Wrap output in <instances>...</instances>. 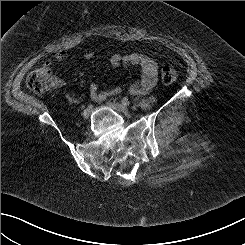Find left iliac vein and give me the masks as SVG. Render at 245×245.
<instances>
[{
	"mask_svg": "<svg viewBox=\"0 0 245 245\" xmlns=\"http://www.w3.org/2000/svg\"><path fill=\"white\" fill-rule=\"evenodd\" d=\"M108 104L118 112H123V113L129 112V108L119 102L113 101V102H109Z\"/></svg>",
	"mask_w": 245,
	"mask_h": 245,
	"instance_id": "left-iliac-vein-1",
	"label": "left iliac vein"
}]
</instances>
